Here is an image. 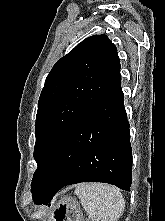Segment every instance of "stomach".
<instances>
[{"label":"stomach","mask_w":165,"mask_h":221,"mask_svg":"<svg viewBox=\"0 0 165 221\" xmlns=\"http://www.w3.org/2000/svg\"><path fill=\"white\" fill-rule=\"evenodd\" d=\"M51 217H62L53 218L52 221H81L79 206L72 198H64L55 204Z\"/></svg>","instance_id":"obj_1"}]
</instances>
